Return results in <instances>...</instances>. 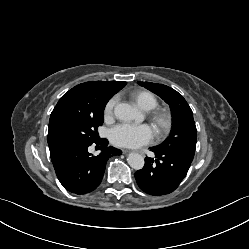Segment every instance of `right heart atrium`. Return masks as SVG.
<instances>
[{"label": "right heart atrium", "mask_w": 249, "mask_h": 249, "mask_svg": "<svg viewBox=\"0 0 249 249\" xmlns=\"http://www.w3.org/2000/svg\"><path fill=\"white\" fill-rule=\"evenodd\" d=\"M117 99L116 98H112L108 101V103L105 106V110H104V115L105 117H111L113 114V110L114 107L116 105Z\"/></svg>", "instance_id": "right-heart-atrium-1"}]
</instances>
